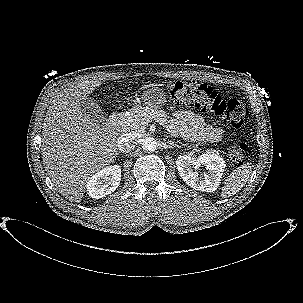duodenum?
<instances>
[{
	"mask_svg": "<svg viewBox=\"0 0 303 303\" xmlns=\"http://www.w3.org/2000/svg\"><path fill=\"white\" fill-rule=\"evenodd\" d=\"M121 118H122V115L120 113L113 114L108 121V126L109 127L116 126L120 122Z\"/></svg>",
	"mask_w": 303,
	"mask_h": 303,
	"instance_id": "duodenum-1",
	"label": "duodenum"
}]
</instances>
